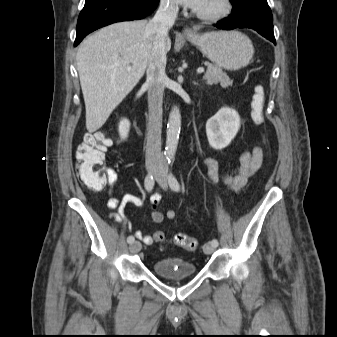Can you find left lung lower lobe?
Masks as SVG:
<instances>
[{
	"label": "left lung lower lobe",
	"instance_id": "1",
	"mask_svg": "<svg viewBox=\"0 0 337 337\" xmlns=\"http://www.w3.org/2000/svg\"><path fill=\"white\" fill-rule=\"evenodd\" d=\"M215 26L224 30L250 28L276 44L271 10L256 3L232 12L228 18L219 21Z\"/></svg>",
	"mask_w": 337,
	"mask_h": 337
}]
</instances>
